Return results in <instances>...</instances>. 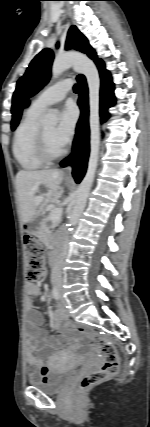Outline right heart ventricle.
Here are the masks:
<instances>
[{"instance_id": "right-heart-ventricle-1", "label": "right heart ventricle", "mask_w": 150, "mask_h": 427, "mask_svg": "<svg viewBox=\"0 0 150 427\" xmlns=\"http://www.w3.org/2000/svg\"><path fill=\"white\" fill-rule=\"evenodd\" d=\"M41 113L42 111L30 106L15 131L13 154L19 166L26 171L39 170L45 165L36 153L38 118Z\"/></svg>"}]
</instances>
